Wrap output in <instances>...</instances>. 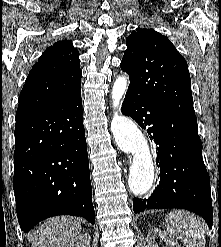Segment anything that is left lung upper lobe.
<instances>
[{
	"label": "left lung upper lobe",
	"mask_w": 221,
	"mask_h": 247,
	"mask_svg": "<svg viewBox=\"0 0 221 247\" xmlns=\"http://www.w3.org/2000/svg\"><path fill=\"white\" fill-rule=\"evenodd\" d=\"M121 68L131 92L174 112L195 116L187 62L170 40L153 29L137 28L126 38Z\"/></svg>",
	"instance_id": "5c2ea615"
}]
</instances>
